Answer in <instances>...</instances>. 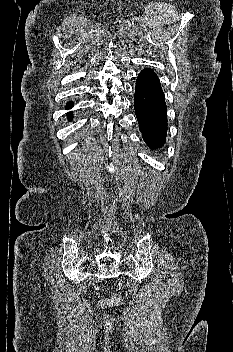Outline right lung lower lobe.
<instances>
[{"mask_svg": "<svg viewBox=\"0 0 233 352\" xmlns=\"http://www.w3.org/2000/svg\"><path fill=\"white\" fill-rule=\"evenodd\" d=\"M72 106H73V103L72 102H68L67 105H66V108H71ZM68 118H69V120L72 119L71 113L68 114Z\"/></svg>", "mask_w": 233, "mask_h": 352, "instance_id": "obj_1", "label": "right lung lower lobe"}]
</instances>
